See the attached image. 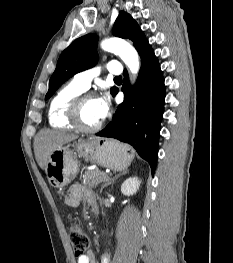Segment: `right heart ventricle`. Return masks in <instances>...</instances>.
Masks as SVG:
<instances>
[{"instance_id":"right-heart-ventricle-1","label":"right heart ventricle","mask_w":233,"mask_h":263,"mask_svg":"<svg viewBox=\"0 0 233 263\" xmlns=\"http://www.w3.org/2000/svg\"><path fill=\"white\" fill-rule=\"evenodd\" d=\"M85 91L74 81L62 86L51 99L48 109V120L54 128H73L69 121L67 110L71 100L79 93Z\"/></svg>"}]
</instances>
